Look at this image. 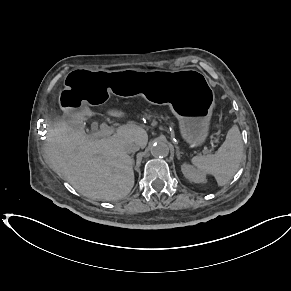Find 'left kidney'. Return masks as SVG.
Returning a JSON list of instances; mask_svg holds the SVG:
<instances>
[{"label":"left kidney","mask_w":291,"mask_h":291,"mask_svg":"<svg viewBox=\"0 0 291 291\" xmlns=\"http://www.w3.org/2000/svg\"><path fill=\"white\" fill-rule=\"evenodd\" d=\"M182 173L184 176L194 182V183H205L206 182V176L205 173L195 169L190 164L184 163L181 166Z\"/></svg>","instance_id":"5707ae66"}]
</instances>
